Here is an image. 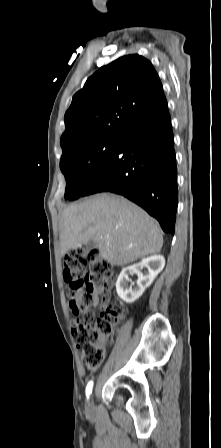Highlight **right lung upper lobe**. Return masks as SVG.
Wrapping results in <instances>:
<instances>
[{"label":"right lung upper lobe","mask_w":221,"mask_h":448,"mask_svg":"<svg viewBox=\"0 0 221 448\" xmlns=\"http://www.w3.org/2000/svg\"><path fill=\"white\" fill-rule=\"evenodd\" d=\"M165 100L159 76L146 58L127 55L101 67L73 96L65 113L62 157L87 142L119 136Z\"/></svg>","instance_id":"right-lung-upper-lobe-1"}]
</instances>
